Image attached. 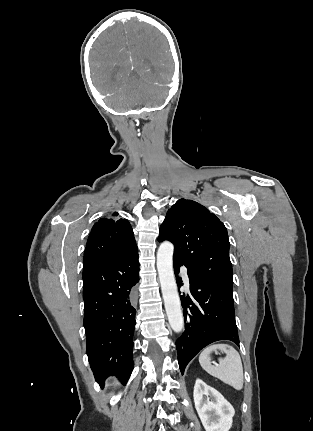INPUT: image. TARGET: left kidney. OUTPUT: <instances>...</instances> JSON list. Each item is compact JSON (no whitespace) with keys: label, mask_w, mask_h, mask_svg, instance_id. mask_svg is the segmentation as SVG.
Instances as JSON below:
<instances>
[{"label":"left kidney","mask_w":313,"mask_h":431,"mask_svg":"<svg viewBox=\"0 0 313 431\" xmlns=\"http://www.w3.org/2000/svg\"><path fill=\"white\" fill-rule=\"evenodd\" d=\"M193 397L195 408L206 431H229L235 410L217 390L197 379Z\"/></svg>","instance_id":"5707ae66"}]
</instances>
